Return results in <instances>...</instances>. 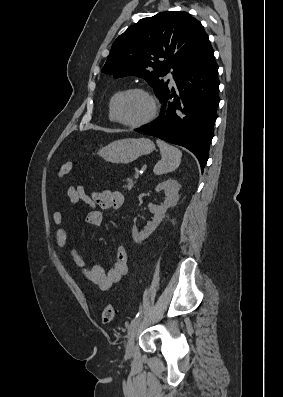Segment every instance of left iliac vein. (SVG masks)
Segmentation results:
<instances>
[{
    "label": "left iliac vein",
    "mask_w": 283,
    "mask_h": 397,
    "mask_svg": "<svg viewBox=\"0 0 283 397\" xmlns=\"http://www.w3.org/2000/svg\"><path fill=\"white\" fill-rule=\"evenodd\" d=\"M142 316H140L134 323H132L128 329V339L126 343V357H131L134 351V336L141 323Z\"/></svg>",
    "instance_id": "4c4485c4"
}]
</instances>
